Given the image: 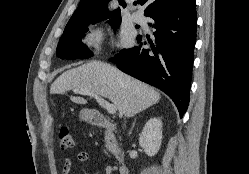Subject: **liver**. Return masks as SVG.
I'll use <instances>...</instances> for the list:
<instances>
[{"instance_id":"liver-1","label":"liver","mask_w":249,"mask_h":174,"mask_svg":"<svg viewBox=\"0 0 249 174\" xmlns=\"http://www.w3.org/2000/svg\"><path fill=\"white\" fill-rule=\"evenodd\" d=\"M70 90L75 93L88 90L109 99L120 117H133L160 100L159 92L151 86L100 61H91L62 73L50 87L51 94H65ZM71 100L87 103L82 97H71Z\"/></svg>"}]
</instances>
